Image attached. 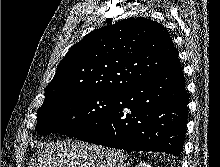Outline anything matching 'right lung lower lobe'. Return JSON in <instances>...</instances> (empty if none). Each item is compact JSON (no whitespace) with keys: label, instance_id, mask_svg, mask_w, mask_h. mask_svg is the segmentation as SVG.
I'll return each instance as SVG.
<instances>
[{"label":"right lung lower lobe","instance_id":"98d812e1","mask_svg":"<svg viewBox=\"0 0 220 167\" xmlns=\"http://www.w3.org/2000/svg\"><path fill=\"white\" fill-rule=\"evenodd\" d=\"M181 67L118 92L113 105L77 138L111 148L180 156L188 117Z\"/></svg>","mask_w":220,"mask_h":167}]
</instances>
